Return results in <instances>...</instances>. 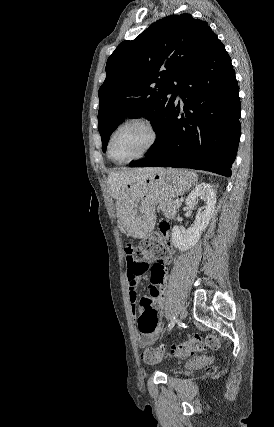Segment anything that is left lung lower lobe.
Instances as JSON below:
<instances>
[{
  "label": "left lung lower lobe",
  "mask_w": 274,
  "mask_h": 427,
  "mask_svg": "<svg viewBox=\"0 0 274 427\" xmlns=\"http://www.w3.org/2000/svg\"><path fill=\"white\" fill-rule=\"evenodd\" d=\"M166 123L147 157L133 167L162 166L231 176L240 139L239 89L231 59L217 36L183 76Z\"/></svg>",
  "instance_id": "0a47b994"
}]
</instances>
